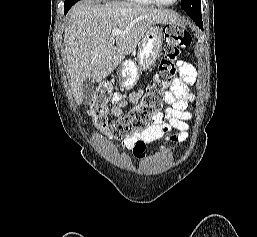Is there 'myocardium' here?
Returning <instances> with one entry per match:
<instances>
[{
  "label": "myocardium",
  "instance_id": "obj_1",
  "mask_svg": "<svg viewBox=\"0 0 257 237\" xmlns=\"http://www.w3.org/2000/svg\"><path fill=\"white\" fill-rule=\"evenodd\" d=\"M154 3L162 6H173L179 2V0H174L172 2H164L162 0H153Z\"/></svg>",
  "mask_w": 257,
  "mask_h": 237
}]
</instances>
